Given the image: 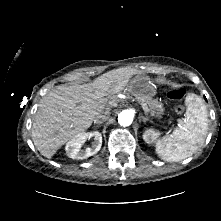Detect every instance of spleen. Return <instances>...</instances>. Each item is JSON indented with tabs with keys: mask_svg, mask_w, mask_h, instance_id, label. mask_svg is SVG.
Segmentation results:
<instances>
[{
	"mask_svg": "<svg viewBox=\"0 0 221 221\" xmlns=\"http://www.w3.org/2000/svg\"><path fill=\"white\" fill-rule=\"evenodd\" d=\"M185 118L178 122V127L156 144V153L164 161H180L192 156L203 145L208 130V113L201 97L188 94Z\"/></svg>",
	"mask_w": 221,
	"mask_h": 221,
	"instance_id": "spleen-1",
	"label": "spleen"
}]
</instances>
